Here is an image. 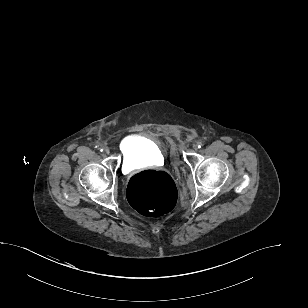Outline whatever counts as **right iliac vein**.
I'll use <instances>...</instances> for the list:
<instances>
[{"mask_svg": "<svg viewBox=\"0 0 308 308\" xmlns=\"http://www.w3.org/2000/svg\"><path fill=\"white\" fill-rule=\"evenodd\" d=\"M104 152H105L106 154H109V153H110V150L106 147V148H104Z\"/></svg>", "mask_w": 308, "mask_h": 308, "instance_id": "right-iliac-vein-1", "label": "right iliac vein"}]
</instances>
